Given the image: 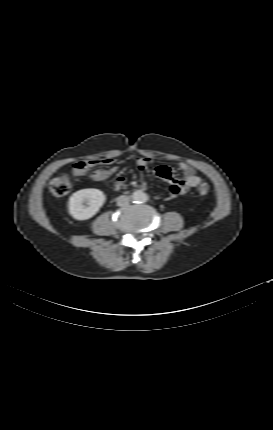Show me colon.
<instances>
[{"label": "colon", "mask_w": 273, "mask_h": 430, "mask_svg": "<svg viewBox=\"0 0 273 430\" xmlns=\"http://www.w3.org/2000/svg\"><path fill=\"white\" fill-rule=\"evenodd\" d=\"M48 188L55 196H65L71 191L72 181L67 175L58 173L50 179ZM197 191L199 195H206L210 191V185L203 182L198 185Z\"/></svg>", "instance_id": "obj_1"}]
</instances>
